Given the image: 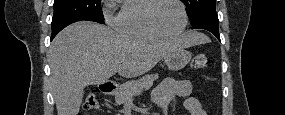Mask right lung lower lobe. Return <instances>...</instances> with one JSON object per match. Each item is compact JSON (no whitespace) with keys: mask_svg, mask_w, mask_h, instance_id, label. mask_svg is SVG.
<instances>
[{"mask_svg":"<svg viewBox=\"0 0 285 115\" xmlns=\"http://www.w3.org/2000/svg\"><path fill=\"white\" fill-rule=\"evenodd\" d=\"M71 23H73V22H71ZM71 23H66V24H64V25L58 26V27H56V28H53V29H52L51 40H52L63 28H65L66 26H68V25L71 24Z\"/></svg>","mask_w":285,"mask_h":115,"instance_id":"obj_1","label":"right lung lower lobe"}]
</instances>
